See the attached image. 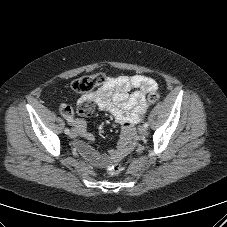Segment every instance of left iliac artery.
Returning a JSON list of instances; mask_svg holds the SVG:
<instances>
[{
  "label": "left iliac artery",
  "instance_id": "1",
  "mask_svg": "<svg viewBox=\"0 0 227 227\" xmlns=\"http://www.w3.org/2000/svg\"><path fill=\"white\" fill-rule=\"evenodd\" d=\"M148 126H149V124H148L147 122H145V123H144V127L147 128Z\"/></svg>",
  "mask_w": 227,
  "mask_h": 227
}]
</instances>
